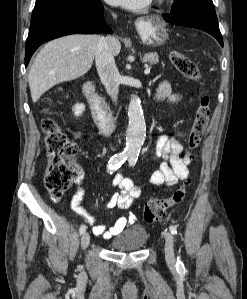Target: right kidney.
<instances>
[{
	"mask_svg": "<svg viewBox=\"0 0 247 299\" xmlns=\"http://www.w3.org/2000/svg\"><path fill=\"white\" fill-rule=\"evenodd\" d=\"M84 110H85V106L83 104L78 103L73 107V112L77 117L80 116Z\"/></svg>",
	"mask_w": 247,
	"mask_h": 299,
	"instance_id": "obj_1",
	"label": "right kidney"
}]
</instances>
